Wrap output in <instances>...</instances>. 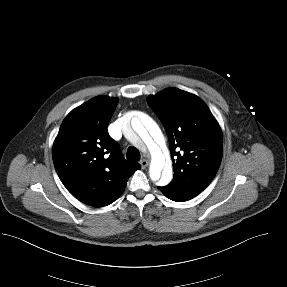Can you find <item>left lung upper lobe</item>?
Returning <instances> with one entry per match:
<instances>
[{
  "instance_id": "obj_1",
  "label": "left lung upper lobe",
  "mask_w": 287,
  "mask_h": 287,
  "mask_svg": "<svg viewBox=\"0 0 287 287\" xmlns=\"http://www.w3.org/2000/svg\"><path fill=\"white\" fill-rule=\"evenodd\" d=\"M147 102L169 139L174 170L169 186L197 196L211 183L221 163L219 124L199 97L177 88L151 95Z\"/></svg>"
}]
</instances>
